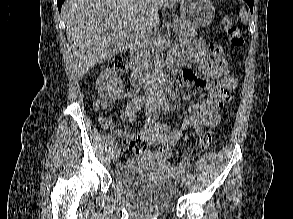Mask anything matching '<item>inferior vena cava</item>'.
<instances>
[{
    "label": "inferior vena cava",
    "mask_w": 293,
    "mask_h": 219,
    "mask_svg": "<svg viewBox=\"0 0 293 219\" xmlns=\"http://www.w3.org/2000/svg\"><path fill=\"white\" fill-rule=\"evenodd\" d=\"M136 52V69L135 74L147 79L152 73V64L150 61V51L147 42V35L145 32L139 31L135 37ZM155 88V86L153 85Z\"/></svg>",
    "instance_id": "obj_1"
}]
</instances>
